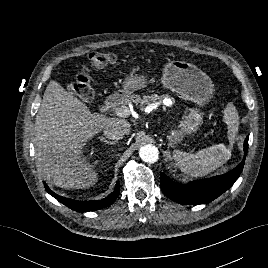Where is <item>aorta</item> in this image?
Segmentation results:
<instances>
[{
  "mask_svg": "<svg viewBox=\"0 0 268 268\" xmlns=\"http://www.w3.org/2000/svg\"><path fill=\"white\" fill-rule=\"evenodd\" d=\"M139 156L144 162L155 163L159 158V151L155 145L146 144L140 148Z\"/></svg>",
  "mask_w": 268,
  "mask_h": 268,
  "instance_id": "aorta-1",
  "label": "aorta"
}]
</instances>
